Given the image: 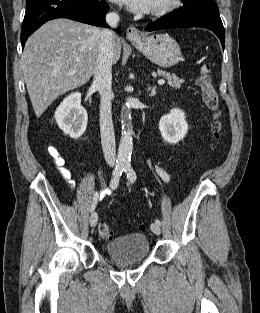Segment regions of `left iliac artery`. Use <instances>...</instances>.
<instances>
[{"instance_id": "obj_1", "label": "left iliac artery", "mask_w": 260, "mask_h": 313, "mask_svg": "<svg viewBox=\"0 0 260 313\" xmlns=\"http://www.w3.org/2000/svg\"><path fill=\"white\" fill-rule=\"evenodd\" d=\"M124 167H125L124 171L127 173V178L129 179L131 183H134L136 180L135 171L133 170L130 164H126ZM155 223L158 224L159 226L161 225V222L159 219H156Z\"/></svg>"}]
</instances>
